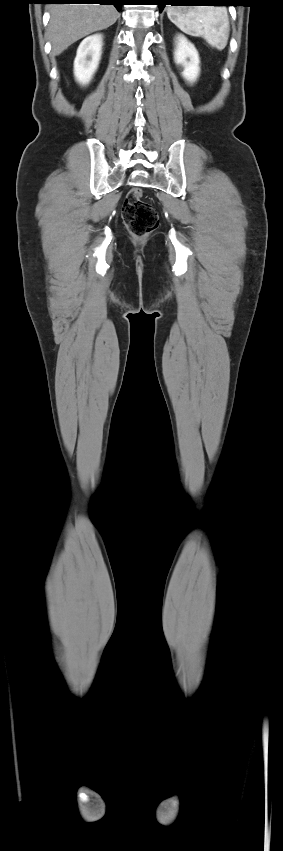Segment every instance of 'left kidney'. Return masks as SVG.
Listing matches in <instances>:
<instances>
[{
  "mask_svg": "<svg viewBox=\"0 0 283 851\" xmlns=\"http://www.w3.org/2000/svg\"><path fill=\"white\" fill-rule=\"evenodd\" d=\"M176 49L174 52L175 63L181 71L182 76L193 83L199 76V55L192 43L183 35L176 38Z\"/></svg>",
  "mask_w": 283,
  "mask_h": 851,
  "instance_id": "obj_1",
  "label": "left kidney"
}]
</instances>
